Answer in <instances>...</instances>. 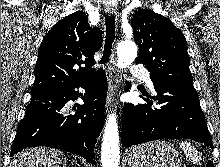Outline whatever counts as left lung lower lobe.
<instances>
[{
	"instance_id": "0a47b994",
	"label": "left lung lower lobe",
	"mask_w": 220,
	"mask_h": 167,
	"mask_svg": "<svg viewBox=\"0 0 220 167\" xmlns=\"http://www.w3.org/2000/svg\"><path fill=\"white\" fill-rule=\"evenodd\" d=\"M130 89L126 83L125 91ZM155 97L146 95L147 104L124 106L122 146L128 148L162 138H188L213 148L197 92L192 87L176 84L154 85ZM156 101L157 107L152 106Z\"/></svg>"
}]
</instances>
